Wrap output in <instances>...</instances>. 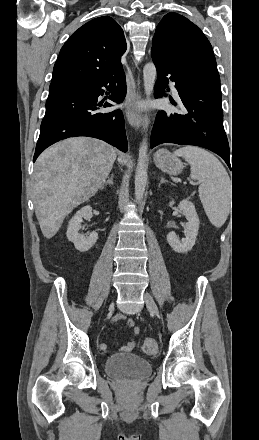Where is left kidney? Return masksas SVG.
I'll return each instance as SVG.
<instances>
[{"mask_svg":"<svg viewBox=\"0 0 259 440\" xmlns=\"http://www.w3.org/2000/svg\"><path fill=\"white\" fill-rule=\"evenodd\" d=\"M173 205L174 201H171L169 206L171 207ZM178 208L188 220L186 224L187 233L185 234V238L180 241L174 232H170L167 235V242L175 252L187 253L195 244L200 221L195 206L191 201L186 199L180 201Z\"/></svg>","mask_w":259,"mask_h":440,"instance_id":"obj_1","label":"left kidney"}]
</instances>
